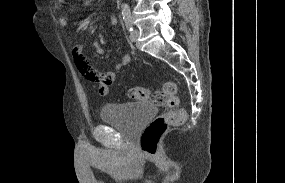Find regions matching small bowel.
Segmentation results:
<instances>
[{
	"label": "small bowel",
	"instance_id": "obj_1",
	"mask_svg": "<svg viewBox=\"0 0 285 183\" xmlns=\"http://www.w3.org/2000/svg\"><path fill=\"white\" fill-rule=\"evenodd\" d=\"M67 23L68 22H67V18L66 17L61 16L59 18V24L62 27H66ZM93 48H94L95 52L98 55L104 54V48L101 45V43L94 42L93 43ZM84 49H85V46L83 44H78V45H76L74 47V49H73V56H74L76 65L78 63H85V64H87L90 67V70H91L92 74L95 76V79L90 80V81L98 84V93H99L100 96L104 97L109 92V86L112 85V83L115 80L116 71L121 70L122 68H124L130 62V56L128 54H125L122 57V59L120 60V62H118L116 64L114 71L101 72V71H98V70H96L95 68L92 67V65L87 60V58H86V56L84 54Z\"/></svg>",
	"mask_w": 285,
	"mask_h": 183
}]
</instances>
